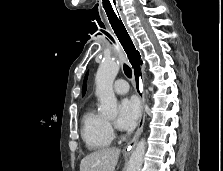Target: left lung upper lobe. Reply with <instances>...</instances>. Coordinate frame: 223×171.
Instances as JSON below:
<instances>
[{
  "mask_svg": "<svg viewBox=\"0 0 223 171\" xmlns=\"http://www.w3.org/2000/svg\"><path fill=\"white\" fill-rule=\"evenodd\" d=\"M87 76H88V73L86 74V76H85V79H84V83L86 82V80H87Z\"/></svg>",
  "mask_w": 223,
  "mask_h": 171,
  "instance_id": "5c2ea615",
  "label": "left lung upper lobe"
}]
</instances>
